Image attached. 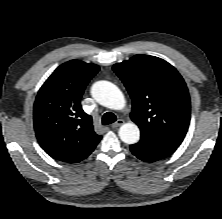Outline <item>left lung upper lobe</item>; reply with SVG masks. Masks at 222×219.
<instances>
[{
	"label": "left lung upper lobe",
	"instance_id": "left-lung-upper-lobe-1",
	"mask_svg": "<svg viewBox=\"0 0 222 219\" xmlns=\"http://www.w3.org/2000/svg\"><path fill=\"white\" fill-rule=\"evenodd\" d=\"M132 98L130 117L146 137L178 147L191 114L187 86L178 71L163 59L138 54L113 66Z\"/></svg>",
	"mask_w": 222,
	"mask_h": 219
}]
</instances>
